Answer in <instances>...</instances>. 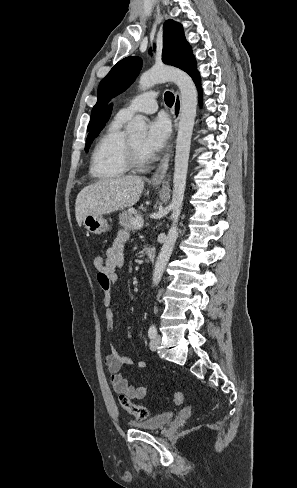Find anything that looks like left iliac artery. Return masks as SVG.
<instances>
[{"label":"left iliac artery","mask_w":297,"mask_h":488,"mask_svg":"<svg viewBox=\"0 0 297 488\" xmlns=\"http://www.w3.org/2000/svg\"><path fill=\"white\" fill-rule=\"evenodd\" d=\"M157 335V329L155 325H151L148 330V336L150 339L154 338Z\"/></svg>","instance_id":"1"}]
</instances>
